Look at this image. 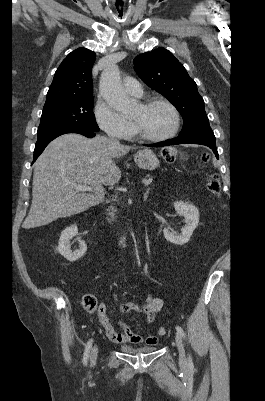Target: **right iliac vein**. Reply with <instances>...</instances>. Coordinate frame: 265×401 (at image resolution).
I'll list each match as a JSON object with an SVG mask.
<instances>
[{"label":"right iliac vein","instance_id":"63e3f726","mask_svg":"<svg viewBox=\"0 0 265 401\" xmlns=\"http://www.w3.org/2000/svg\"><path fill=\"white\" fill-rule=\"evenodd\" d=\"M97 353H98V346H95L90 357L91 367H94L96 364Z\"/></svg>","mask_w":265,"mask_h":401}]
</instances>
